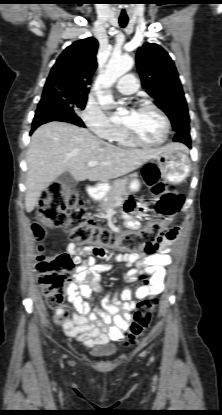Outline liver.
<instances>
[{"label":"liver","instance_id":"obj_1","mask_svg":"<svg viewBox=\"0 0 222 415\" xmlns=\"http://www.w3.org/2000/svg\"><path fill=\"white\" fill-rule=\"evenodd\" d=\"M174 149L186 150V147L173 143L157 149H123L69 123L54 121L41 125L33 133L27 150L26 211L34 210L42 191L64 172L77 181H107ZM89 161L100 164L88 167Z\"/></svg>","mask_w":222,"mask_h":415}]
</instances>
